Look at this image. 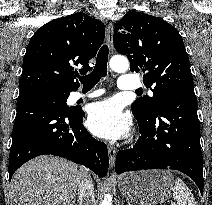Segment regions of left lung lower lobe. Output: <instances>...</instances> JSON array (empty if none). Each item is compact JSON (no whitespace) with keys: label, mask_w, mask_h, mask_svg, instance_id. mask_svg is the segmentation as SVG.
I'll return each instance as SVG.
<instances>
[{"label":"left lung lower lobe","mask_w":212,"mask_h":205,"mask_svg":"<svg viewBox=\"0 0 212 205\" xmlns=\"http://www.w3.org/2000/svg\"><path fill=\"white\" fill-rule=\"evenodd\" d=\"M140 138L119 151L116 172L174 169L188 175L203 194L202 153L196 96L179 95L147 120L134 115Z\"/></svg>","instance_id":"0a47b994"}]
</instances>
